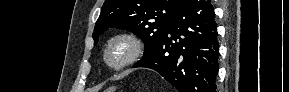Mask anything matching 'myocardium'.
Masks as SVG:
<instances>
[{"mask_svg":"<svg viewBox=\"0 0 289 92\" xmlns=\"http://www.w3.org/2000/svg\"><path fill=\"white\" fill-rule=\"evenodd\" d=\"M120 43L125 45L126 51L120 59L114 60L113 48ZM144 50V42L138 35L130 31H121L106 41L102 50V60L109 69L119 71L138 62L143 56Z\"/></svg>","mask_w":289,"mask_h":92,"instance_id":"myocardium-1","label":"myocardium"}]
</instances>
